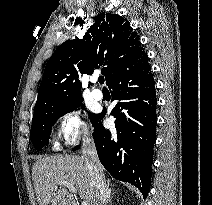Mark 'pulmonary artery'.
Segmentation results:
<instances>
[{"instance_id": "1", "label": "pulmonary artery", "mask_w": 212, "mask_h": 205, "mask_svg": "<svg viewBox=\"0 0 212 205\" xmlns=\"http://www.w3.org/2000/svg\"><path fill=\"white\" fill-rule=\"evenodd\" d=\"M94 82H96V80H94ZM91 94H92V97L96 100L103 99V93L100 89H93Z\"/></svg>"}]
</instances>
